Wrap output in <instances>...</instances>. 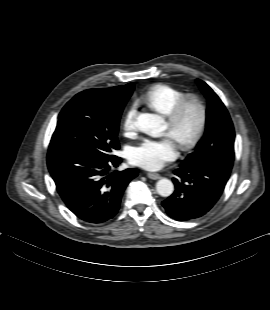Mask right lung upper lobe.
Listing matches in <instances>:
<instances>
[{
	"instance_id": "right-lung-upper-lobe-1",
	"label": "right lung upper lobe",
	"mask_w": 270,
	"mask_h": 310,
	"mask_svg": "<svg viewBox=\"0 0 270 310\" xmlns=\"http://www.w3.org/2000/svg\"><path fill=\"white\" fill-rule=\"evenodd\" d=\"M133 89L134 83H129L123 86H116L100 90H102L111 99L120 103H126L128 98L131 96Z\"/></svg>"
}]
</instances>
